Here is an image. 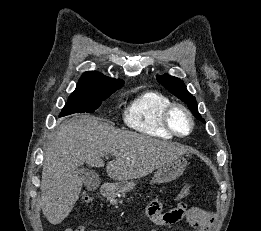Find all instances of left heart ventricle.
I'll return each mask as SVG.
<instances>
[{"label":"left heart ventricle","mask_w":261,"mask_h":231,"mask_svg":"<svg viewBox=\"0 0 261 231\" xmlns=\"http://www.w3.org/2000/svg\"><path fill=\"white\" fill-rule=\"evenodd\" d=\"M172 124L180 134H186L190 129V121L187 115L181 110H176L172 114Z\"/></svg>","instance_id":"left-heart-ventricle-1"}]
</instances>
